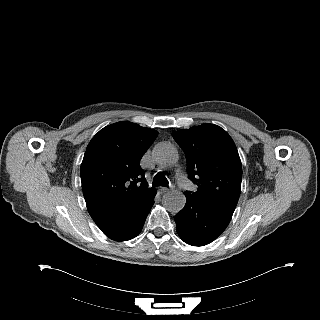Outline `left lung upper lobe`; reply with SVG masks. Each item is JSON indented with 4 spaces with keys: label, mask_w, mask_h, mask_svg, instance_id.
I'll return each mask as SVG.
<instances>
[{
    "label": "left lung upper lobe",
    "mask_w": 320,
    "mask_h": 320,
    "mask_svg": "<svg viewBox=\"0 0 320 320\" xmlns=\"http://www.w3.org/2000/svg\"><path fill=\"white\" fill-rule=\"evenodd\" d=\"M173 138L186 155L189 178L198 186L185 195L232 216L241 192L242 165L229 134L205 123L178 130Z\"/></svg>",
    "instance_id": "obj_1"
}]
</instances>
